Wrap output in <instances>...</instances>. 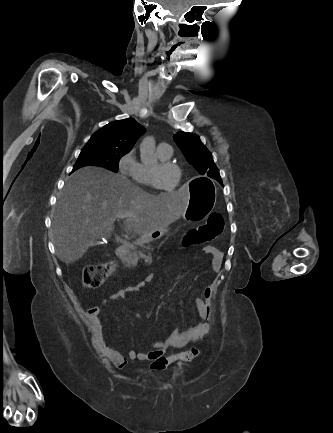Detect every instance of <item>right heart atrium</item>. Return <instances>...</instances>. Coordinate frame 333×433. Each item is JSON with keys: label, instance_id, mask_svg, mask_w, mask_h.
Masks as SVG:
<instances>
[{"label": "right heart atrium", "instance_id": "d8ad5b80", "mask_svg": "<svg viewBox=\"0 0 333 433\" xmlns=\"http://www.w3.org/2000/svg\"><path fill=\"white\" fill-rule=\"evenodd\" d=\"M118 170L125 177L133 179L137 178L140 170V163L136 158L135 149L128 150L120 157L118 161Z\"/></svg>", "mask_w": 333, "mask_h": 433}]
</instances>
